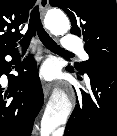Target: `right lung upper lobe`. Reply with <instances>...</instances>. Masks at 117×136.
I'll return each mask as SVG.
<instances>
[{"label": "right lung upper lobe", "mask_w": 117, "mask_h": 136, "mask_svg": "<svg viewBox=\"0 0 117 136\" xmlns=\"http://www.w3.org/2000/svg\"><path fill=\"white\" fill-rule=\"evenodd\" d=\"M36 0H0V55L14 51L22 37L19 26L28 21Z\"/></svg>", "instance_id": "right-lung-upper-lobe-1"}]
</instances>
